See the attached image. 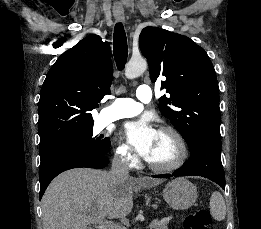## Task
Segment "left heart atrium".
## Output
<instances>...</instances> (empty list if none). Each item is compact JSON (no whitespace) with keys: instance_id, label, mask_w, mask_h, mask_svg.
I'll use <instances>...</instances> for the list:
<instances>
[{"instance_id":"left-heart-atrium-1","label":"left heart atrium","mask_w":261,"mask_h":229,"mask_svg":"<svg viewBox=\"0 0 261 229\" xmlns=\"http://www.w3.org/2000/svg\"><path fill=\"white\" fill-rule=\"evenodd\" d=\"M157 134V130L146 122L128 123L124 127L126 139L144 159L149 157Z\"/></svg>"}]
</instances>
